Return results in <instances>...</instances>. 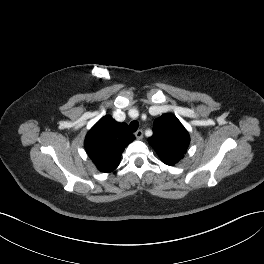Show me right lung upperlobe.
I'll use <instances>...</instances> for the list:
<instances>
[{"instance_id": "1", "label": "right lung upper lobe", "mask_w": 264, "mask_h": 264, "mask_svg": "<svg viewBox=\"0 0 264 264\" xmlns=\"http://www.w3.org/2000/svg\"><path fill=\"white\" fill-rule=\"evenodd\" d=\"M134 140L124 123L116 122L110 115L103 116L88 132L85 149L102 172L115 170L123 150Z\"/></svg>"}]
</instances>
